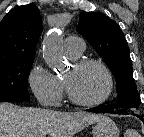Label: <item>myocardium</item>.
<instances>
[{
  "instance_id": "obj_1",
  "label": "myocardium",
  "mask_w": 144,
  "mask_h": 137,
  "mask_svg": "<svg viewBox=\"0 0 144 137\" xmlns=\"http://www.w3.org/2000/svg\"><path fill=\"white\" fill-rule=\"evenodd\" d=\"M88 65L97 66L103 71V73L106 76V80H107V88H106L105 93L99 99L94 100V101H82V100L77 99L74 96L67 80L64 79L63 84L65 86V90H66L69 101L71 103H73L74 105H77L80 107H95V106H99V105L103 104L104 102H106L109 99V97L111 96L113 89H114L113 75H112L110 69L108 68V66L101 60L93 59V58H85V59L77 60L73 64V66L76 69H80V68H83Z\"/></svg>"
}]
</instances>
